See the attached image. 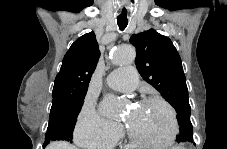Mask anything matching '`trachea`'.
Segmentation results:
<instances>
[{
    "instance_id": "obj_1",
    "label": "trachea",
    "mask_w": 227,
    "mask_h": 149,
    "mask_svg": "<svg viewBox=\"0 0 227 149\" xmlns=\"http://www.w3.org/2000/svg\"><path fill=\"white\" fill-rule=\"evenodd\" d=\"M117 24H118L120 30H124L128 25V21L117 19Z\"/></svg>"
}]
</instances>
